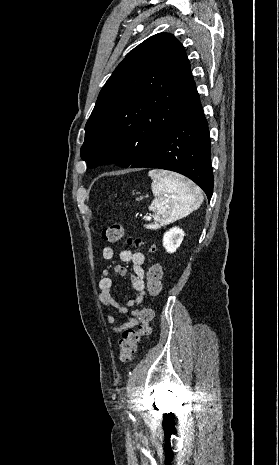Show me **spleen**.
<instances>
[{
    "label": "spleen",
    "mask_w": 279,
    "mask_h": 465,
    "mask_svg": "<svg viewBox=\"0 0 279 465\" xmlns=\"http://www.w3.org/2000/svg\"><path fill=\"white\" fill-rule=\"evenodd\" d=\"M148 175L152 181L155 199L149 209L155 212V224L148 227L157 229L184 218L197 210L203 202L200 189L191 181L168 171L151 170Z\"/></svg>",
    "instance_id": "3e777b00"
}]
</instances>
